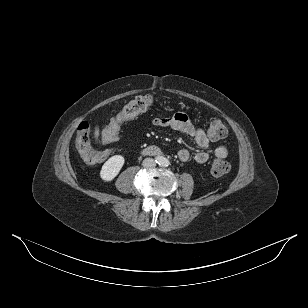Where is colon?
I'll use <instances>...</instances> for the list:
<instances>
[{"mask_svg": "<svg viewBox=\"0 0 308 308\" xmlns=\"http://www.w3.org/2000/svg\"><path fill=\"white\" fill-rule=\"evenodd\" d=\"M153 104L154 99L150 95L135 97L124 107L119 116L115 119H110L104 125L100 135L101 139L105 143L116 142L121 134L119 130L121 125L125 121L151 109ZM207 135L211 140L218 141L227 137L228 130L220 120L212 119L207 128ZM75 145L81 159L89 165H94L100 161H106L108 158L114 156V151L112 149L101 152L94 147L90 136V125L87 121H83L79 124L76 132ZM210 171L215 177L223 176L230 171V164L222 158L214 159L211 163Z\"/></svg>", "mask_w": 308, "mask_h": 308, "instance_id": "5ec220e1", "label": "colon"}]
</instances>
